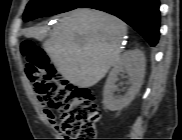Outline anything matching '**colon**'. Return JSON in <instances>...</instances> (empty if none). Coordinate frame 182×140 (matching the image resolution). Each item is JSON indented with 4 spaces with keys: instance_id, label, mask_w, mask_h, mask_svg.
<instances>
[{
    "instance_id": "1",
    "label": "colon",
    "mask_w": 182,
    "mask_h": 140,
    "mask_svg": "<svg viewBox=\"0 0 182 140\" xmlns=\"http://www.w3.org/2000/svg\"><path fill=\"white\" fill-rule=\"evenodd\" d=\"M24 70L38 99L60 113L61 132L74 140H95L101 109L94 92L69 84L50 64L47 54L31 41L21 45Z\"/></svg>"
}]
</instances>
